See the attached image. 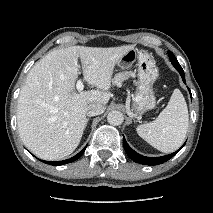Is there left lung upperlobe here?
I'll list each match as a JSON object with an SVG mask.
<instances>
[{
  "mask_svg": "<svg viewBox=\"0 0 213 213\" xmlns=\"http://www.w3.org/2000/svg\"><path fill=\"white\" fill-rule=\"evenodd\" d=\"M168 55H169V57H170V60H171V62H172V64H173V66H174L177 70L182 69V67H181L180 64L178 63L177 59L175 58L174 54H173L172 52L169 51V52H168Z\"/></svg>",
  "mask_w": 213,
  "mask_h": 213,
  "instance_id": "left-lung-upper-lobe-1",
  "label": "left lung upper lobe"
}]
</instances>
